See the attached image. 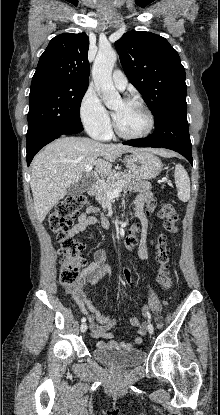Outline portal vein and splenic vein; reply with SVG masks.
I'll use <instances>...</instances> for the list:
<instances>
[{
    "label": "portal vein and splenic vein",
    "instance_id": "18ae733b",
    "mask_svg": "<svg viewBox=\"0 0 220 415\" xmlns=\"http://www.w3.org/2000/svg\"><path fill=\"white\" fill-rule=\"evenodd\" d=\"M92 168H93V165L89 164V165L86 166L85 170H86V172L89 173V172L92 171ZM121 191H122L121 188H116L115 190H107L106 194H107V197L114 198V197L118 196Z\"/></svg>",
    "mask_w": 220,
    "mask_h": 415
}]
</instances>
